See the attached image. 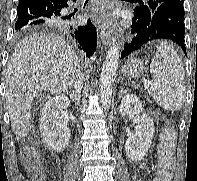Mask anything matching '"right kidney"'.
<instances>
[{
  "label": "right kidney",
  "mask_w": 197,
  "mask_h": 181,
  "mask_svg": "<svg viewBox=\"0 0 197 181\" xmlns=\"http://www.w3.org/2000/svg\"><path fill=\"white\" fill-rule=\"evenodd\" d=\"M70 104L66 96H56L45 103L39 118V129L48 148L62 152L69 143L67 122L60 116Z\"/></svg>",
  "instance_id": "right-kidney-1"
}]
</instances>
